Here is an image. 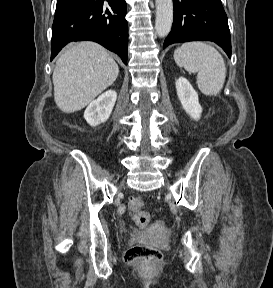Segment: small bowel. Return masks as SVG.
Instances as JSON below:
<instances>
[{
  "mask_svg": "<svg viewBox=\"0 0 273 288\" xmlns=\"http://www.w3.org/2000/svg\"><path fill=\"white\" fill-rule=\"evenodd\" d=\"M121 212H123L125 210V207L124 206H121L120 209H119Z\"/></svg>",
  "mask_w": 273,
  "mask_h": 288,
  "instance_id": "obj_1",
  "label": "small bowel"
}]
</instances>
